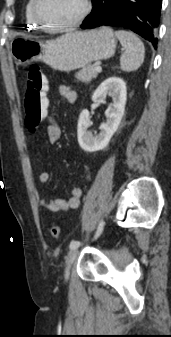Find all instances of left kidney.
Wrapping results in <instances>:
<instances>
[{
    "mask_svg": "<svg viewBox=\"0 0 171 337\" xmlns=\"http://www.w3.org/2000/svg\"><path fill=\"white\" fill-rule=\"evenodd\" d=\"M106 95L112 98L113 103L105 111L107 120L101 124L98 135L93 136L88 131L91 123L89 111L83 110L79 116L77 128L78 143L86 152H96L104 149L113 134L117 131L124 115L127 91L123 79L119 77L106 79L93 93L92 101L102 103Z\"/></svg>",
    "mask_w": 171,
    "mask_h": 337,
    "instance_id": "5707ae66",
    "label": "left kidney"
}]
</instances>
